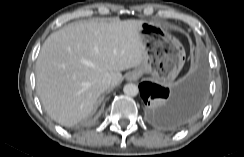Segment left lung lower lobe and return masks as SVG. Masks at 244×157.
Returning <instances> with one entry per match:
<instances>
[{"label": "left lung lower lobe", "mask_w": 244, "mask_h": 157, "mask_svg": "<svg viewBox=\"0 0 244 157\" xmlns=\"http://www.w3.org/2000/svg\"><path fill=\"white\" fill-rule=\"evenodd\" d=\"M139 89L150 119L159 126L179 129L189 123L204 104V65H199L193 73L170 89L151 82L141 83Z\"/></svg>", "instance_id": "1"}]
</instances>
